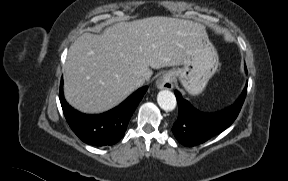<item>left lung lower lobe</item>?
Instances as JSON below:
<instances>
[{"mask_svg": "<svg viewBox=\"0 0 288 181\" xmlns=\"http://www.w3.org/2000/svg\"><path fill=\"white\" fill-rule=\"evenodd\" d=\"M246 93L247 84L232 106L221 112L209 114L196 110L188 101L181 97L178 91H175L179 115L172 127V132L176 139L184 146L191 147L202 144L223 132L237 118Z\"/></svg>", "mask_w": 288, "mask_h": 181, "instance_id": "obj_1", "label": "left lung lower lobe"}]
</instances>
